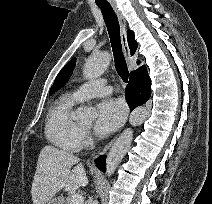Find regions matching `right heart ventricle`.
Masks as SVG:
<instances>
[{"mask_svg": "<svg viewBox=\"0 0 212 204\" xmlns=\"http://www.w3.org/2000/svg\"><path fill=\"white\" fill-rule=\"evenodd\" d=\"M79 101L71 94H64L50 108L45 124V136L56 147L69 152L80 145L81 126L74 119V107Z\"/></svg>", "mask_w": 212, "mask_h": 204, "instance_id": "obj_1", "label": "right heart ventricle"}]
</instances>
